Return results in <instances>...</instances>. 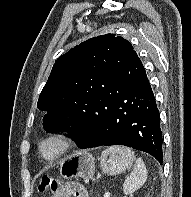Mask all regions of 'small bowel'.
<instances>
[{
	"label": "small bowel",
	"mask_w": 191,
	"mask_h": 197,
	"mask_svg": "<svg viewBox=\"0 0 191 197\" xmlns=\"http://www.w3.org/2000/svg\"><path fill=\"white\" fill-rule=\"evenodd\" d=\"M51 197H88L87 193L80 187L65 184L61 189L52 194Z\"/></svg>",
	"instance_id": "small-bowel-1"
}]
</instances>
